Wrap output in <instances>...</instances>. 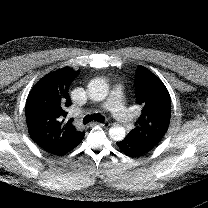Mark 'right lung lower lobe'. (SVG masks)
Returning <instances> with one entry per match:
<instances>
[{
    "instance_id": "98d812e1",
    "label": "right lung lower lobe",
    "mask_w": 208,
    "mask_h": 208,
    "mask_svg": "<svg viewBox=\"0 0 208 208\" xmlns=\"http://www.w3.org/2000/svg\"><path fill=\"white\" fill-rule=\"evenodd\" d=\"M84 135L85 134L75 138L69 143L63 144L47 152L54 154V155H58V156L65 155L66 153L70 152L72 149H74L76 146H78L81 143V141L84 138Z\"/></svg>"
}]
</instances>
